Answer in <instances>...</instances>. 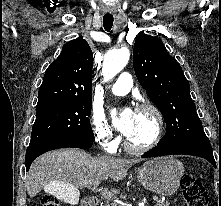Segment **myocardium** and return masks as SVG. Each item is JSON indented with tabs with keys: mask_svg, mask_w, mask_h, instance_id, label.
Instances as JSON below:
<instances>
[{
	"mask_svg": "<svg viewBox=\"0 0 221 206\" xmlns=\"http://www.w3.org/2000/svg\"><path fill=\"white\" fill-rule=\"evenodd\" d=\"M136 111H145L150 113L153 116L154 119V123H155V129H154V134L152 136V138L145 144L143 145H133L128 138L125 139L124 141V147L127 151L134 153V154H143L147 151H149L150 149H152L153 147H155L162 135H163V131H164V119L162 116L161 111L158 109L157 106H155L153 103L151 102H143L141 104H139L136 107Z\"/></svg>",
	"mask_w": 221,
	"mask_h": 206,
	"instance_id": "f54148a6",
	"label": "myocardium"
}]
</instances>
